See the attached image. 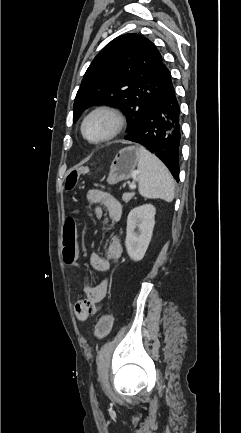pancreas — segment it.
<instances>
[{"label":"pancreas","mask_w":241,"mask_h":433,"mask_svg":"<svg viewBox=\"0 0 241 433\" xmlns=\"http://www.w3.org/2000/svg\"><path fill=\"white\" fill-rule=\"evenodd\" d=\"M133 196H134L133 192H131V193H124L123 196H122V199H123V201L125 203H128L133 198Z\"/></svg>","instance_id":"pancreas-1"}]
</instances>
